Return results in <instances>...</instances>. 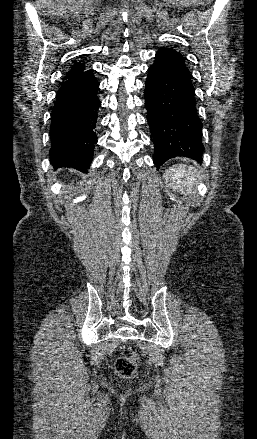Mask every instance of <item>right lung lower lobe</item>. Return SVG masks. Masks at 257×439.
<instances>
[{
	"label": "right lung lower lobe",
	"instance_id": "98d812e1",
	"mask_svg": "<svg viewBox=\"0 0 257 439\" xmlns=\"http://www.w3.org/2000/svg\"><path fill=\"white\" fill-rule=\"evenodd\" d=\"M98 82L93 71L66 79L57 92L50 129V159L54 168L86 172L97 142Z\"/></svg>",
	"mask_w": 257,
	"mask_h": 439
}]
</instances>
